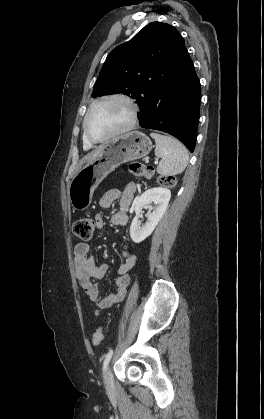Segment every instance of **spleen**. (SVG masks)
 <instances>
[{
    "label": "spleen",
    "mask_w": 264,
    "mask_h": 419,
    "mask_svg": "<svg viewBox=\"0 0 264 419\" xmlns=\"http://www.w3.org/2000/svg\"><path fill=\"white\" fill-rule=\"evenodd\" d=\"M156 142L155 155L161 158L157 172L163 176H174L182 173L189 160L185 146L171 136L151 133Z\"/></svg>",
    "instance_id": "obj_1"
}]
</instances>
